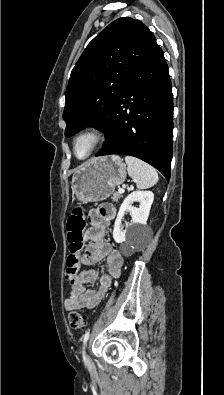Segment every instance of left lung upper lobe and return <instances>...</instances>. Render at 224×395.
Listing matches in <instances>:
<instances>
[{
    "instance_id": "5c2ea615",
    "label": "left lung upper lobe",
    "mask_w": 224,
    "mask_h": 395,
    "mask_svg": "<svg viewBox=\"0 0 224 395\" xmlns=\"http://www.w3.org/2000/svg\"><path fill=\"white\" fill-rule=\"evenodd\" d=\"M156 44L148 27L132 18H119L98 34L71 72L63 113L65 135L89 123L102 131L124 85Z\"/></svg>"
}]
</instances>
